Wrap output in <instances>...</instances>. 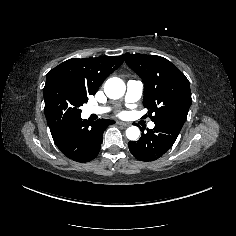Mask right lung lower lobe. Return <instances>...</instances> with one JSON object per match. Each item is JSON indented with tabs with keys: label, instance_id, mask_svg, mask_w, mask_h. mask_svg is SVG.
<instances>
[{
	"label": "right lung lower lobe",
	"instance_id": "obj_1",
	"mask_svg": "<svg viewBox=\"0 0 236 236\" xmlns=\"http://www.w3.org/2000/svg\"><path fill=\"white\" fill-rule=\"evenodd\" d=\"M114 123L107 119L89 122L78 116L50 131L56 146L66 157L76 162H88L98 155L103 132Z\"/></svg>",
	"mask_w": 236,
	"mask_h": 236
}]
</instances>
